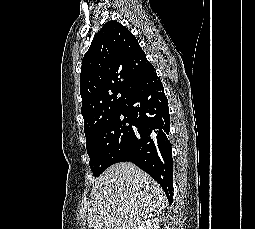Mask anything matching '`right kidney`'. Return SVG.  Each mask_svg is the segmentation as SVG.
Here are the masks:
<instances>
[{
	"mask_svg": "<svg viewBox=\"0 0 255 229\" xmlns=\"http://www.w3.org/2000/svg\"><path fill=\"white\" fill-rule=\"evenodd\" d=\"M159 218L153 217L143 221L139 226L138 229H160L159 226Z\"/></svg>",
	"mask_w": 255,
	"mask_h": 229,
	"instance_id": "right-kidney-1",
	"label": "right kidney"
}]
</instances>
